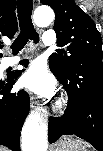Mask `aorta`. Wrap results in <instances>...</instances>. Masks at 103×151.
Here are the masks:
<instances>
[{"instance_id":"762f6f07","label":"aorta","mask_w":103,"mask_h":151,"mask_svg":"<svg viewBox=\"0 0 103 151\" xmlns=\"http://www.w3.org/2000/svg\"><path fill=\"white\" fill-rule=\"evenodd\" d=\"M55 14L50 7H38L33 14L39 27H46L54 21ZM47 124L40 119V113L32 112L22 129V151H47Z\"/></svg>"}]
</instances>
